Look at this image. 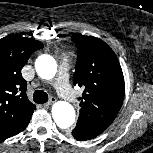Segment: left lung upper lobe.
<instances>
[{
	"mask_svg": "<svg viewBox=\"0 0 153 153\" xmlns=\"http://www.w3.org/2000/svg\"><path fill=\"white\" fill-rule=\"evenodd\" d=\"M77 64L74 85L84 88L80 114L72 135L77 140L95 138L117 116L124 99V77L112 49L101 39L74 34Z\"/></svg>",
	"mask_w": 153,
	"mask_h": 153,
	"instance_id": "5c2ea615",
	"label": "left lung upper lobe"
}]
</instances>
